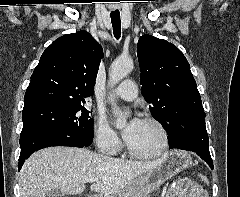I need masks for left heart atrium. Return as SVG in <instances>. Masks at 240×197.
I'll list each match as a JSON object with an SVG mask.
<instances>
[{"mask_svg": "<svg viewBox=\"0 0 240 197\" xmlns=\"http://www.w3.org/2000/svg\"><path fill=\"white\" fill-rule=\"evenodd\" d=\"M141 122L142 120L137 117L132 118L128 122L125 129L123 130V138L126 142H129L134 137L140 127Z\"/></svg>", "mask_w": 240, "mask_h": 197, "instance_id": "left-heart-atrium-1", "label": "left heart atrium"}]
</instances>
